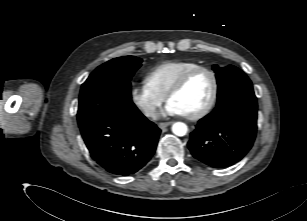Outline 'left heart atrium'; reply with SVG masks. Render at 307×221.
Returning <instances> with one entry per match:
<instances>
[{
    "label": "left heart atrium",
    "mask_w": 307,
    "mask_h": 221,
    "mask_svg": "<svg viewBox=\"0 0 307 221\" xmlns=\"http://www.w3.org/2000/svg\"><path fill=\"white\" fill-rule=\"evenodd\" d=\"M164 115H170V116H180L184 115L183 112L173 103L168 102L164 108L163 111Z\"/></svg>",
    "instance_id": "1"
}]
</instances>
